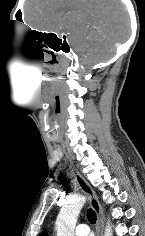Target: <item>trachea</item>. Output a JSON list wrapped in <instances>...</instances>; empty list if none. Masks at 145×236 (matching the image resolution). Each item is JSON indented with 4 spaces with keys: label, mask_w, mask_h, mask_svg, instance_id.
Masks as SVG:
<instances>
[{
    "label": "trachea",
    "mask_w": 145,
    "mask_h": 236,
    "mask_svg": "<svg viewBox=\"0 0 145 236\" xmlns=\"http://www.w3.org/2000/svg\"><path fill=\"white\" fill-rule=\"evenodd\" d=\"M87 218L90 223L95 224L97 217L95 211L91 208L87 210Z\"/></svg>",
    "instance_id": "1"
}]
</instances>
